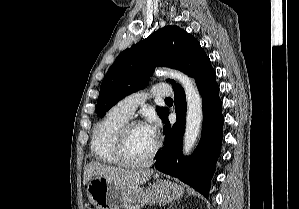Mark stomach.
<instances>
[{"mask_svg": "<svg viewBox=\"0 0 299 209\" xmlns=\"http://www.w3.org/2000/svg\"><path fill=\"white\" fill-rule=\"evenodd\" d=\"M182 194V187L168 180H158L143 188L117 185L94 176L87 186L88 199L95 209H142L149 203L173 202Z\"/></svg>", "mask_w": 299, "mask_h": 209, "instance_id": "stomach-1", "label": "stomach"}]
</instances>
